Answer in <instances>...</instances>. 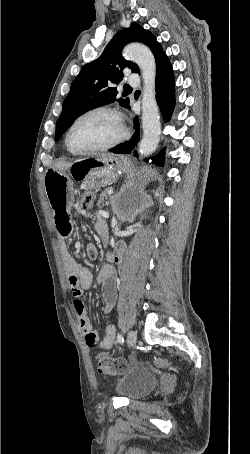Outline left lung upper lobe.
Returning <instances> with one entry per match:
<instances>
[{
	"label": "left lung upper lobe",
	"instance_id": "5c2ea615",
	"mask_svg": "<svg viewBox=\"0 0 250 454\" xmlns=\"http://www.w3.org/2000/svg\"><path fill=\"white\" fill-rule=\"evenodd\" d=\"M130 42H141L147 45L156 59L165 55L160 44L152 33L139 24L132 23L129 28L119 31L104 49L101 56L83 66L74 79L71 89L63 102L62 113L56 122L55 141L72 125L81 114L118 101L121 106L129 108V98H118L114 85L123 79V70L129 68L139 72L136 64L125 60L122 48Z\"/></svg>",
	"mask_w": 250,
	"mask_h": 454
}]
</instances>
